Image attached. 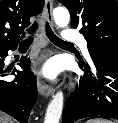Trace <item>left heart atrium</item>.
Instances as JSON below:
<instances>
[{
  "instance_id": "left-heart-atrium-1",
  "label": "left heart atrium",
  "mask_w": 118,
  "mask_h": 123,
  "mask_svg": "<svg viewBox=\"0 0 118 123\" xmlns=\"http://www.w3.org/2000/svg\"><path fill=\"white\" fill-rule=\"evenodd\" d=\"M57 72H58V67L53 62H47L41 68V73L48 78H54Z\"/></svg>"
}]
</instances>
